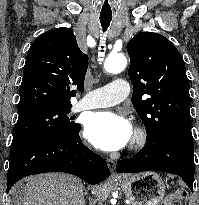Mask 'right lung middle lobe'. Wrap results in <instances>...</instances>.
Returning a JSON list of instances; mask_svg holds the SVG:
<instances>
[{
	"label": "right lung middle lobe",
	"instance_id": "1",
	"mask_svg": "<svg viewBox=\"0 0 199 205\" xmlns=\"http://www.w3.org/2000/svg\"><path fill=\"white\" fill-rule=\"evenodd\" d=\"M71 107L45 106L19 112L10 150L46 137L78 132L81 125L68 116Z\"/></svg>",
	"mask_w": 199,
	"mask_h": 205
}]
</instances>
